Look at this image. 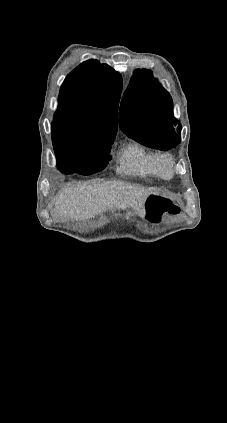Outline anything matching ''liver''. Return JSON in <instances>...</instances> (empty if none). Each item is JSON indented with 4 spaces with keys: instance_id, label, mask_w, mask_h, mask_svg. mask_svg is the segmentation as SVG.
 <instances>
[{
    "instance_id": "1",
    "label": "liver",
    "mask_w": 227,
    "mask_h": 423,
    "mask_svg": "<svg viewBox=\"0 0 227 423\" xmlns=\"http://www.w3.org/2000/svg\"><path fill=\"white\" fill-rule=\"evenodd\" d=\"M149 196L141 186H130L125 182H106V184H76L59 194L55 210L63 217L76 221H86L105 211L133 208L143 213L146 198Z\"/></svg>"
}]
</instances>
